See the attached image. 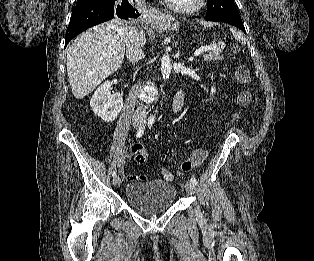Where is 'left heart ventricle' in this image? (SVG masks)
<instances>
[{
	"label": "left heart ventricle",
	"mask_w": 314,
	"mask_h": 261,
	"mask_svg": "<svg viewBox=\"0 0 314 261\" xmlns=\"http://www.w3.org/2000/svg\"><path fill=\"white\" fill-rule=\"evenodd\" d=\"M174 2H177L179 4H182V5H188L190 3H192L194 0H173Z\"/></svg>",
	"instance_id": "obj_1"
}]
</instances>
